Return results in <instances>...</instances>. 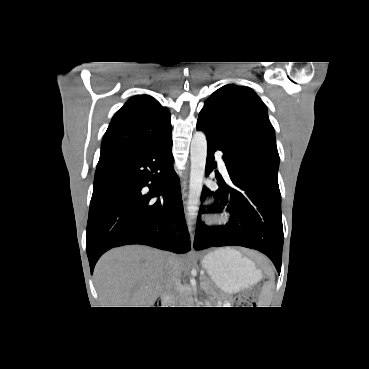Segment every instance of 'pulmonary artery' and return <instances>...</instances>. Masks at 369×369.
<instances>
[{
  "label": "pulmonary artery",
  "mask_w": 369,
  "mask_h": 369,
  "mask_svg": "<svg viewBox=\"0 0 369 369\" xmlns=\"http://www.w3.org/2000/svg\"><path fill=\"white\" fill-rule=\"evenodd\" d=\"M217 161H218V165H219V168L222 171V173L224 175L228 176V172H227L225 162H224L223 158L220 155H217Z\"/></svg>",
  "instance_id": "pulmonary-artery-1"
}]
</instances>
